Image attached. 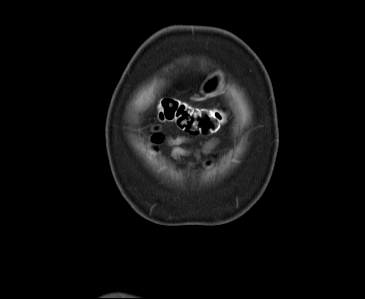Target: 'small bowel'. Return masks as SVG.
Segmentation results:
<instances>
[{
    "instance_id": "obj_1",
    "label": "small bowel",
    "mask_w": 365,
    "mask_h": 299,
    "mask_svg": "<svg viewBox=\"0 0 365 299\" xmlns=\"http://www.w3.org/2000/svg\"><path fill=\"white\" fill-rule=\"evenodd\" d=\"M189 142V139L185 136H177V137H169L168 144L172 147L171 155L175 159H179L181 157L192 154V150L189 148L182 147L183 144ZM217 144V140L211 141L206 147V150H210L215 147Z\"/></svg>"
}]
</instances>
